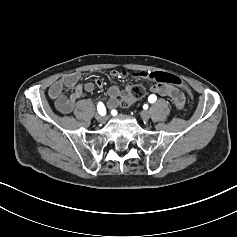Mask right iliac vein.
I'll use <instances>...</instances> for the list:
<instances>
[{
	"mask_svg": "<svg viewBox=\"0 0 237 237\" xmlns=\"http://www.w3.org/2000/svg\"><path fill=\"white\" fill-rule=\"evenodd\" d=\"M96 120L99 122V123H104L106 121V117L105 116H102L100 114H97L95 116Z\"/></svg>",
	"mask_w": 237,
	"mask_h": 237,
	"instance_id": "right-iliac-vein-1",
	"label": "right iliac vein"
}]
</instances>
